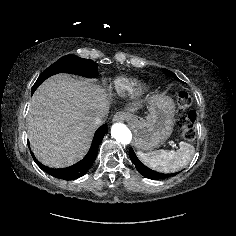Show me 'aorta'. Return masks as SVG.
Returning a JSON list of instances; mask_svg holds the SVG:
<instances>
[{"label":"aorta","mask_w":236,"mask_h":236,"mask_svg":"<svg viewBox=\"0 0 236 236\" xmlns=\"http://www.w3.org/2000/svg\"><path fill=\"white\" fill-rule=\"evenodd\" d=\"M111 135L117 140V142L124 145L129 144L132 139L131 131L122 123H115L112 125Z\"/></svg>","instance_id":"762f6f07"}]
</instances>
